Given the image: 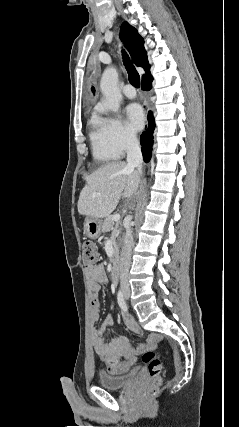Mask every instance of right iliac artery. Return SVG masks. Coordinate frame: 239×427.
<instances>
[{"label":"right iliac artery","instance_id":"obj_1","mask_svg":"<svg viewBox=\"0 0 239 427\" xmlns=\"http://www.w3.org/2000/svg\"><path fill=\"white\" fill-rule=\"evenodd\" d=\"M117 301H118V304H119L120 308L123 311H127V305L125 303V300H124V297H123V293H122L121 290H119V292H118Z\"/></svg>","mask_w":239,"mask_h":427}]
</instances>
